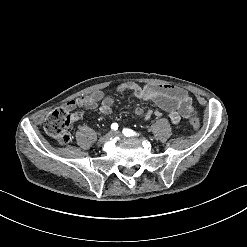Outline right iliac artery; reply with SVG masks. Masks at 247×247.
<instances>
[{
  "instance_id": "82829eb1",
  "label": "right iliac artery",
  "mask_w": 247,
  "mask_h": 247,
  "mask_svg": "<svg viewBox=\"0 0 247 247\" xmlns=\"http://www.w3.org/2000/svg\"><path fill=\"white\" fill-rule=\"evenodd\" d=\"M111 129L114 130V131H116L118 129V124L117 123H113L111 125Z\"/></svg>"
}]
</instances>
